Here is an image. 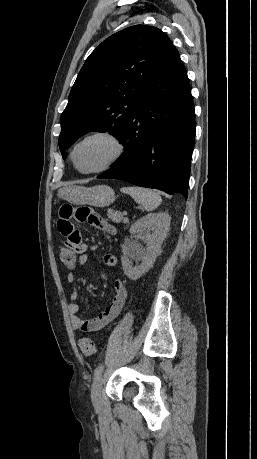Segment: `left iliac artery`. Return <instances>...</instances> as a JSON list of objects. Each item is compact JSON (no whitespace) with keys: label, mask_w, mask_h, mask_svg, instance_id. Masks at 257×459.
<instances>
[{"label":"left iliac artery","mask_w":257,"mask_h":459,"mask_svg":"<svg viewBox=\"0 0 257 459\" xmlns=\"http://www.w3.org/2000/svg\"><path fill=\"white\" fill-rule=\"evenodd\" d=\"M103 369H104V366H103V365H99L98 367H96V369H95V371H94L95 377L100 376L101 373L103 372Z\"/></svg>","instance_id":"obj_1"}]
</instances>
